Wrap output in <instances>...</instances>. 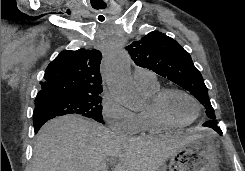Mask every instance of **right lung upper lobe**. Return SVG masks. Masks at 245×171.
<instances>
[{
    "mask_svg": "<svg viewBox=\"0 0 245 171\" xmlns=\"http://www.w3.org/2000/svg\"><path fill=\"white\" fill-rule=\"evenodd\" d=\"M101 58L100 51L95 49L60 52L45 71L35 104L47 97L101 94Z\"/></svg>",
    "mask_w": 245,
    "mask_h": 171,
    "instance_id": "obj_1",
    "label": "right lung upper lobe"
}]
</instances>
